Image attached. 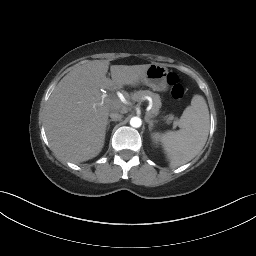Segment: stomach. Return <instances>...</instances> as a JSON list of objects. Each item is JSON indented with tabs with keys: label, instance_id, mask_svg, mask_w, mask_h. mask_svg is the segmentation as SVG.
I'll return each instance as SVG.
<instances>
[{
	"label": "stomach",
	"instance_id": "stomach-1",
	"mask_svg": "<svg viewBox=\"0 0 256 256\" xmlns=\"http://www.w3.org/2000/svg\"><path fill=\"white\" fill-rule=\"evenodd\" d=\"M167 74L168 70L163 64L152 63L139 81L154 91L164 92L168 89Z\"/></svg>",
	"mask_w": 256,
	"mask_h": 256
}]
</instances>
